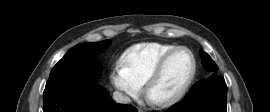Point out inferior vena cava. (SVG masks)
<instances>
[{"label":"inferior vena cava","mask_w":270,"mask_h":112,"mask_svg":"<svg viewBox=\"0 0 270 112\" xmlns=\"http://www.w3.org/2000/svg\"><path fill=\"white\" fill-rule=\"evenodd\" d=\"M113 100L117 103H121V104H127L129 103L131 100L128 96L122 94L119 91H115L113 93Z\"/></svg>","instance_id":"obj_1"}]
</instances>
